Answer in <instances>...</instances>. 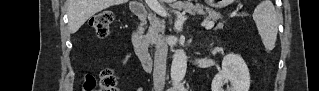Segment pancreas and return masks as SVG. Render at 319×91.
<instances>
[{
    "label": "pancreas",
    "mask_w": 319,
    "mask_h": 91,
    "mask_svg": "<svg viewBox=\"0 0 319 91\" xmlns=\"http://www.w3.org/2000/svg\"><path fill=\"white\" fill-rule=\"evenodd\" d=\"M175 7H179L178 5H176ZM184 9L189 12H202V7L201 6H192V5H188V6H184ZM206 12L209 14L208 19H212V20H218L221 18L220 13L215 12L209 8L206 9ZM150 27L148 29L146 38L147 40L153 44L157 41V39L160 37V33L164 32L165 29V25H164V21H159L156 17H150ZM224 24L222 22L218 23V25L216 26V29H221L223 28Z\"/></svg>",
    "instance_id": "obj_1"
}]
</instances>
